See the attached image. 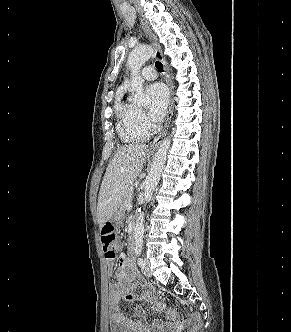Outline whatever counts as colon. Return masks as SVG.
I'll list each match as a JSON object with an SVG mask.
<instances>
[{
  "label": "colon",
  "instance_id": "5ec220e1",
  "mask_svg": "<svg viewBox=\"0 0 291 332\" xmlns=\"http://www.w3.org/2000/svg\"><path fill=\"white\" fill-rule=\"evenodd\" d=\"M101 240L104 256L107 259H113L116 256L118 240L116 232L111 224H106L101 231ZM201 323L197 314L192 315V325L188 332H198Z\"/></svg>",
  "mask_w": 291,
  "mask_h": 332
}]
</instances>
